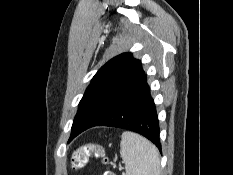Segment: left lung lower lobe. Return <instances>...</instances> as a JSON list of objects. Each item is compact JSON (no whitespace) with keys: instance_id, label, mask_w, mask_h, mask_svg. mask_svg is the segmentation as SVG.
I'll return each instance as SVG.
<instances>
[{"instance_id":"left-lung-lower-lobe-1","label":"left lung lower lobe","mask_w":233,"mask_h":175,"mask_svg":"<svg viewBox=\"0 0 233 175\" xmlns=\"http://www.w3.org/2000/svg\"><path fill=\"white\" fill-rule=\"evenodd\" d=\"M94 126L118 127L140 133L161 150L159 121L146 75L133 83L90 127Z\"/></svg>"}]
</instances>
